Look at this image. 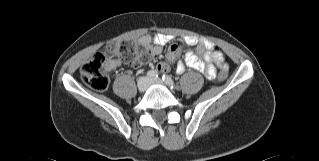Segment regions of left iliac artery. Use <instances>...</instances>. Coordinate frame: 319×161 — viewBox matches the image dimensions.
Here are the masks:
<instances>
[{
	"label": "left iliac artery",
	"instance_id": "1",
	"mask_svg": "<svg viewBox=\"0 0 319 161\" xmlns=\"http://www.w3.org/2000/svg\"><path fill=\"white\" fill-rule=\"evenodd\" d=\"M162 80L168 84L169 86H171V88L175 87L174 81L172 80L171 77H169L168 75H163L162 76Z\"/></svg>",
	"mask_w": 319,
	"mask_h": 161
}]
</instances>
